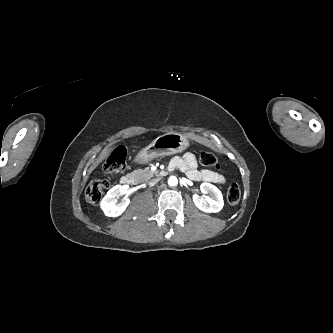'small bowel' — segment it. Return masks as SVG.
Here are the masks:
<instances>
[{
	"instance_id": "obj_1",
	"label": "small bowel",
	"mask_w": 333,
	"mask_h": 333,
	"mask_svg": "<svg viewBox=\"0 0 333 333\" xmlns=\"http://www.w3.org/2000/svg\"><path fill=\"white\" fill-rule=\"evenodd\" d=\"M170 166L185 172L194 181L214 184H223L225 182V177L214 171L199 170L195 155L191 152H186L182 157H174L170 162Z\"/></svg>"
}]
</instances>
